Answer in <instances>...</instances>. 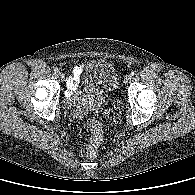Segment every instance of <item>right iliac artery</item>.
Segmentation results:
<instances>
[{"mask_svg":"<svg viewBox=\"0 0 195 195\" xmlns=\"http://www.w3.org/2000/svg\"><path fill=\"white\" fill-rule=\"evenodd\" d=\"M54 71H55L56 73H58V72H59V69H58L57 67H55V68H54Z\"/></svg>","mask_w":195,"mask_h":195,"instance_id":"obj_1","label":"right iliac artery"}]
</instances>
